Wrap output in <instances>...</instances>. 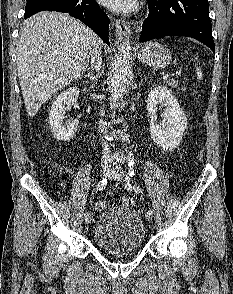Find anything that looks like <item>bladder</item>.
I'll list each match as a JSON object with an SVG mask.
<instances>
[{
    "label": "bladder",
    "instance_id": "1",
    "mask_svg": "<svg viewBox=\"0 0 233 294\" xmlns=\"http://www.w3.org/2000/svg\"><path fill=\"white\" fill-rule=\"evenodd\" d=\"M145 240V227L138 214L130 207L106 209L93 228V241L102 251L123 255L138 251Z\"/></svg>",
    "mask_w": 233,
    "mask_h": 294
}]
</instances>
